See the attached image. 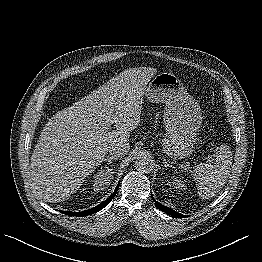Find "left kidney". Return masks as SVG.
<instances>
[{
    "mask_svg": "<svg viewBox=\"0 0 262 262\" xmlns=\"http://www.w3.org/2000/svg\"><path fill=\"white\" fill-rule=\"evenodd\" d=\"M173 186L177 189H180V190H185L186 189V186L184 184V181H182L181 179H179L178 177L174 178L173 179V182H172Z\"/></svg>",
    "mask_w": 262,
    "mask_h": 262,
    "instance_id": "obj_1",
    "label": "left kidney"
}]
</instances>
